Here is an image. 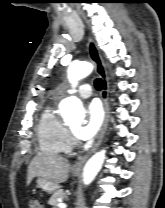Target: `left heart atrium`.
Listing matches in <instances>:
<instances>
[{"instance_id":"left-heart-atrium-1","label":"left heart atrium","mask_w":165,"mask_h":208,"mask_svg":"<svg viewBox=\"0 0 165 208\" xmlns=\"http://www.w3.org/2000/svg\"><path fill=\"white\" fill-rule=\"evenodd\" d=\"M103 120V111L98 101H92L86 107V120L77 129V136L83 141L92 140L98 133Z\"/></svg>"}]
</instances>
